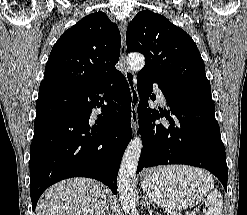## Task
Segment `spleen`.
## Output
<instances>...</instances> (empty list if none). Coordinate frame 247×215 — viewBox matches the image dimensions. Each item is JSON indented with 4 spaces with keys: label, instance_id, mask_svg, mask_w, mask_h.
I'll use <instances>...</instances> for the list:
<instances>
[{
    "label": "spleen",
    "instance_id": "3e777b00",
    "mask_svg": "<svg viewBox=\"0 0 247 215\" xmlns=\"http://www.w3.org/2000/svg\"><path fill=\"white\" fill-rule=\"evenodd\" d=\"M208 177L211 178L210 176ZM205 205L208 207L207 215H223V199L217 190H213L208 194Z\"/></svg>",
    "mask_w": 247,
    "mask_h": 215
}]
</instances>
